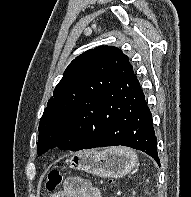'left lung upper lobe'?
Returning a JSON list of instances; mask_svg holds the SVG:
<instances>
[{
  "instance_id": "1",
  "label": "left lung upper lobe",
  "mask_w": 191,
  "mask_h": 197,
  "mask_svg": "<svg viewBox=\"0 0 191 197\" xmlns=\"http://www.w3.org/2000/svg\"><path fill=\"white\" fill-rule=\"evenodd\" d=\"M131 77L135 74L129 58L117 47L99 46L76 57L40 119L38 155L54 147L67 150L64 130L71 128L75 116L91 109L100 94Z\"/></svg>"
}]
</instances>
